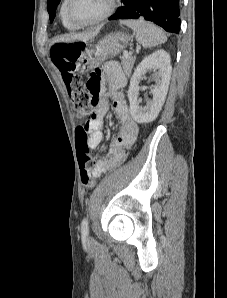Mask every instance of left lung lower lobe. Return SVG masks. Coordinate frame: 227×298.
Returning a JSON list of instances; mask_svg holds the SVG:
<instances>
[{"label": "left lung lower lobe", "instance_id": "left-lung-lower-lobe-1", "mask_svg": "<svg viewBox=\"0 0 227 298\" xmlns=\"http://www.w3.org/2000/svg\"><path fill=\"white\" fill-rule=\"evenodd\" d=\"M109 20L145 19L161 26L168 32L179 33V0H121Z\"/></svg>", "mask_w": 227, "mask_h": 298}]
</instances>
